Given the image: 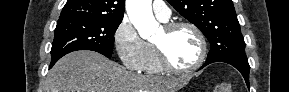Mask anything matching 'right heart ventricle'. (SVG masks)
I'll list each match as a JSON object with an SVG mask.
<instances>
[{
	"label": "right heart ventricle",
	"mask_w": 289,
	"mask_h": 92,
	"mask_svg": "<svg viewBox=\"0 0 289 92\" xmlns=\"http://www.w3.org/2000/svg\"><path fill=\"white\" fill-rule=\"evenodd\" d=\"M148 44L150 52L143 70L146 71L147 73H160L163 71V68L161 67L158 61L154 46L150 43Z\"/></svg>",
	"instance_id": "obj_1"
}]
</instances>
